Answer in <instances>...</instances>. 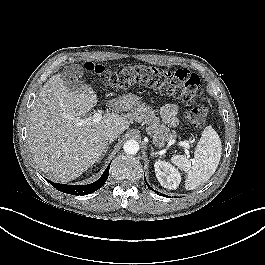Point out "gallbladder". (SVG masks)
<instances>
[{"mask_svg":"<svg viewBox=\"0 0 265 265\" xmlns=\"http://www.w3.org/2000/svg\"><path fill=\"white\" fill-rule=\"evenodd\" d=\"M83 74V69L79 65H71L64 72V82L70 91H75L81 87L79 78Z\"/></svg>","mask_w":265,"mask_h":265,"instance_id":"1","label":"gallbladder"}]
</instances>
